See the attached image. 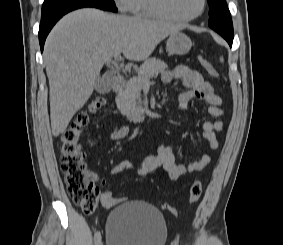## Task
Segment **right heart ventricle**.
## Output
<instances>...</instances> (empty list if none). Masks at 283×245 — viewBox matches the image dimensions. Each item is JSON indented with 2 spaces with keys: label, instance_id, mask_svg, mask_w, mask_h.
Here are the masks:
<instances>
[{
  "label": "right heart ventricle",
  "instance_id": "obj_1",
  "mask_svg": "<svg viewBox=\"0 0 283 245\" xmlns=\"http://www.w3.org/2000/svg\"><path fill=\"white\" fill-rule=\"evenodd\" d=\"M130 11L140 16L162 18L151 8L149 0H132Z\"/></svg>",
  "mask_w": 283,
  "mask_h": 245
}]
</instances>
